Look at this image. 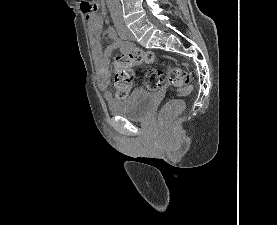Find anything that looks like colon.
Here are the masks:
<instances>
[{"label": "colon", "mask_w": 277, "mask_h": 225, "mask_svg": "<svg viewBox=\"0 0 277 225\" xmlns=\"http://www.w3.org/2000/svg\"><path fill=\"white\" fill-rule=\"evenodd\" d=\"M97 4L93 0H81V9L85 13H94L97 11ZM158 60V56L150 50L134 49L127 54L119 55L115 58L114 87L118 98L128 96L133 83L132 68L140 64H152ZM169 84L180 90L183 94L192 93L189 73L177 66H171L167 69L166 75L161 70H150L146 73L145 86L148 90H158L165 79ZM185 108L183 99L176 98L167 102L160 110L158 121L162 128H167L171 120L180 114Z\"/></svg>", "instance_id": "5ec220e1"}]
</instances>
